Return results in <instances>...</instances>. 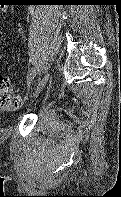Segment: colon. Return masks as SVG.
<instances>
[{
    "label": "colon",
    "mask_w": 121,
    "mask_h": 197,
    "mask_svg": "<svg viewBox=\"0 0 121 197\" xmlns=\"http://www.w3.org/2000/svg\"><path fill=\"white\" fill-rule=\"evenodd\" d=\"M21 100L13 92V86L9 79L0 73V111L11 112L16 110Z\"/></svg>",
    "instance_id": "obj_1"
}]
</instances>
